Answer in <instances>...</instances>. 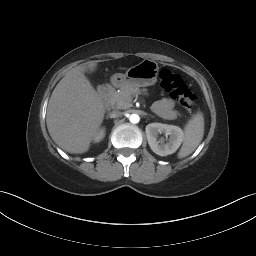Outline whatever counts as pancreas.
<instances>
[{"instance_id":"cf45deb5","label":"pancreas","mask_w":256,"mask_h":256,"mask_svg":"<svg viewBox=\"0 0 256 256\" xmlns=\"http://www.w3.org/2000/svg\"><path fill=\"white\" fill-rule=\"evenodd\" d=\"M140 93L146 94V89L141 90L133 87L122 88L110 94V104L117 109H127L132 105L133 96Z\"/></svg>"}]
</instances>
